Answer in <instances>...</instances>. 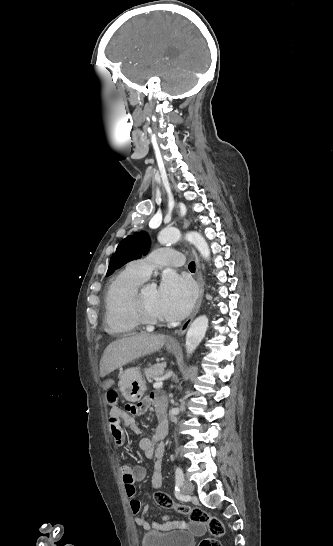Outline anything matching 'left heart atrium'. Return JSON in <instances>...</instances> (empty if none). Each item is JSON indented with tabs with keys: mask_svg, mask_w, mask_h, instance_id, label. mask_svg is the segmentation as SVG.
<instances>
[{
	"mask_svg": "<svg viewBox=\"0 0 333 546\" xmlns=\"http://www.w3.org/2000/svg\"><path fill=\"white\" fill-rule=\"evenodd\" d=\"M195 300V288L192 283L173 271L163 274L158 289V308L162 317L180 320L191 310Z\"/></svg>",
	"mask_w": 333,
	"mask_h": 546,
	"instance_id": "1",
	"label": "left heart atrium"
}]
</instances>
